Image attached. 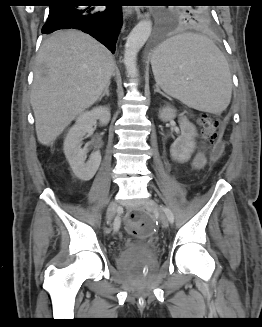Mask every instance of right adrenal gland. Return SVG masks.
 Instances as JSON below:
<instances>
[{
    "label": "right adrenal gland",
    "mask_w": 262,
    "mask_h": 327,
    "mask_svg": "<svg viewBox=\"0 0 262 327\" xmlns=\"http://www.w3.org/2000/svg\"><path fill=\"white\" fill-rule=\"evenodd\" d=\"M109 86H110V83L106 86L105 90L103 91V93L101 94V96L99 97V101L102 100L103 97H109Z\"/></svg>",
    "instance_id": "right-adrenal-gland-1"
}]
</instances>
